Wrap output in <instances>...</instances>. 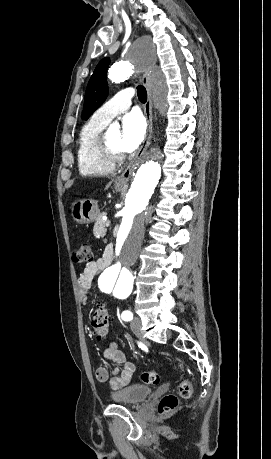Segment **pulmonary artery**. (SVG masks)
<instances>
[{"label":"pulmonary artery","mask_w":271,"mask_h":459,"mask_svg":"<svg viewBox=\"0 0 271 459\" xmlns=\"http://www.w3.org/2000/svg\"><path fill=\"white\" fill-rule=\"evenodd\" d=\"M133 91L131 89H120L117 95L102 105L93 115L102 123H108L116 115L134 106Z\"/></svg>","instance_id":"pulmonary-artery-1"}]
</instances>
